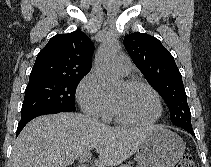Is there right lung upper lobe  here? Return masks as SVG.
Wrapping results in <instances>:
<instances>
[{
  "label": "right lung upper lobe",
  "mask_w": 211,
  "mask_h": 167,
  "mask_svg": "<svg viewBox=\"0 0 211 167\" xmlns=\"http://www.w3.org/2000/svg\"><path fill=\"white\" fill-rule=\"evenodd\" d=\"M94 45L80 30L52 37L38 53L29 81L84 77L91 70Z\"/></svg>",
  "instance_id": "right-lung-upper-lobe-1"
}]
</instances>
